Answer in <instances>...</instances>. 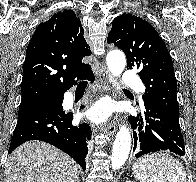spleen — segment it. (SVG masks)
<instances>
[{
	"instance_id": "spleen-1",
	"label": "spleen",
	"mask_w": 196,
	"mask_h": 182,
	"mask_svg": "<svg viewBox=\"0 0 196 182\" xmlns=\"http://www.w3.org/2000/svg\"><path fill=\"white\" fill-rule=\"evenodd\" d=\"M132 173L140 182H187L182 163L167 153H152L139 158Z\"/></svg>"
}]
</instances>
